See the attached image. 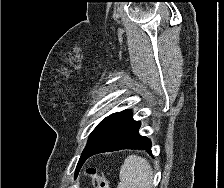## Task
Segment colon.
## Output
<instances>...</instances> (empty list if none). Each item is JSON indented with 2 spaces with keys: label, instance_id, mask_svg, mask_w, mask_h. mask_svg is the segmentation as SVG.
Here are the masks:
<instances>
[{
  "label": "colon",
  "instance_id": "colon-1",
  "mask_svg": "<svg viewBox=\"0 0 224 188\" xmlns=\"http://www.w3.org/2000/svg\"><path fill=\"white\" fill-rule=\"evenodd\" d=\"M87 177L91 180L92 184L96 188H108V184L105 179L96 174V171L93 168H89L86 170Z\"/></svg>",
  "mask_w": 224,
  "mask_h": 188
}]
</instances>
